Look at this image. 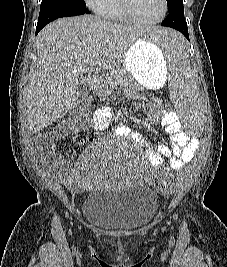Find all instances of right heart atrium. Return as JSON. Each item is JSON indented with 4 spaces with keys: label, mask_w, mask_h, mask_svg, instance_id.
<instances>
[{
    "label": "right heart atrium",
    "mask_w": 227,
    "mask_h": 267,
    "mask_svg": "<svg viewBox=\"0 0 227 267\" xmlns=\"http://www.w3.org/2000/svg\"><path fill=\"white\" fill-rule=\"evenodd\" d=\"M84 2L94 12L103 15L110 6L112 0H84Z\"/></svg>",
    "instance_id": "obj_1"
}]
</instances>
